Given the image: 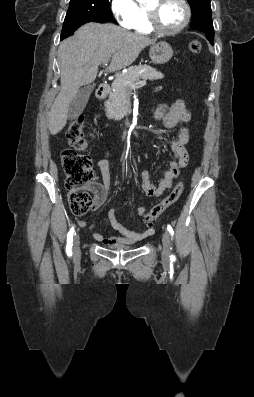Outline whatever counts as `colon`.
Returning <instances> with one entry per match:
<instances>
[{"mask_svg":"<svg viewBox=\"0 0 254 397\" xmlns=\"http://www.w3.org/2000/svg\"><path fill=\"white\" fill-rule=\"evenodd\" d=\"M191 55H198L202 51L200 41L193 40L188 45ZM85 122L83 117L75 118L68 126L66 138L72 149L63 151L61 165L65 173V185L68 190V202L71 212L81 216L86 214L94 203L90 187L94 177L93 163L89 156L82 154L87 143L84 139ZM183 191V184L179 182L160 203L155 205L145 216L144 220L151 223L177 199Z\"/></svg>","mask_w":254,"mask_h":397,"instance_id":"obj_1","label":"colon"}]
</instances>
